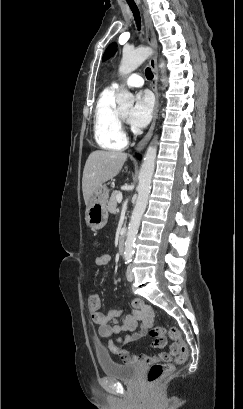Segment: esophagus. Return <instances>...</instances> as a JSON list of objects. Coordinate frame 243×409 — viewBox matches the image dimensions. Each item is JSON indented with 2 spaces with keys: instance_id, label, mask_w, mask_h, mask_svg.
Returning a JSON list of instances; mask_svg holds the SVG:
<instances>
[{
  "instance_id": "34e87169",
  "label": "esophagus",
  "mask_w": 243,
  "mask_h": 409,
  "mask_svg": "<svg viewBox=\"0 0 243 409\" xmlns=\"http://www.w3.org/2000/svg\"><path fill=\"white\" fill-rule=\"evenodd\" d=\"M143 16H144V21H145V36H146V41L148 45L154 50V52L157 50V40L155 37L152 21L150 19V16L147 12V10L143 7ZM150 67L153 71V80L151 82V87L154 91L155 94V108H154V115H153V120L152 124L150 126L149 131L147 134L143 137V139L137 144L136 146V152H141L149 140L152 137L153 130L155 127V122L157 118V109H158V102H159V96H158V67H157V57L154 54L150 60H149Z\"/></svg>"
}]
</instances>
